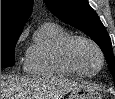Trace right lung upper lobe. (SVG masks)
<instances>
[{
    "mask_svg": "<svg viewBox=\"0 0 115 99\" xmlns=\"http://www.w3.org/2000/svg\"><path fill=\"white\" fill-rule=\"evenodd\" d=\"M34 0H1V34H21Z\"/></svg>",
    "mask_w": 115,
    "mask_h": 99,
    "instance_id": "cb5924a9",
    "label": "right lung upper lobe"
}]
</instances>
